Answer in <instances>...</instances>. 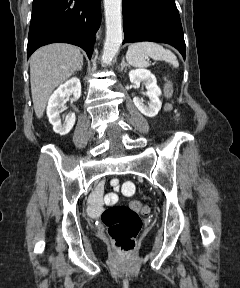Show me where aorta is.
Instances as JSON below:
<instances>
[{
    "label": "aorta",
    "mask_w": 240,
    "mask_h": 288,
    "mask_svg": "<svg viewBox=\"0 0 240 288\" xmlns=\"http://www.w3.org/2000/svg\"><path fill=\"white\" fill-rule=\"evenodd\" d=\"M122 0H104L106 19V40L102 54V62L110 64L122 43Z\"/></svg>",
    "instance_id": "obj_1"
}]
</instances>
